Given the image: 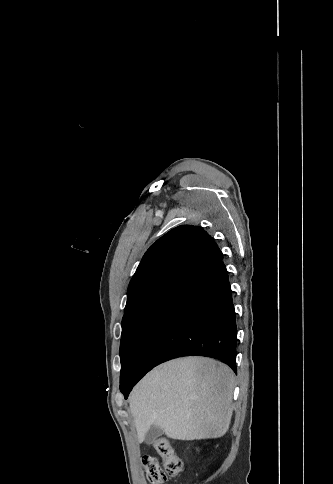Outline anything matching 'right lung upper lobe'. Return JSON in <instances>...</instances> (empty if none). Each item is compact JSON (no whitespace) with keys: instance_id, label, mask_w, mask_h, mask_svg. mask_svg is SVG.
Masks as SVG:
<instances>
[{"instance_id":"right-lung-upper-lobe-1","label":"right lung upper lobe","mask_w":333,"mask_h":484,"mask_svg":"<svg viewBox=\"0 0 333 484\" xmlns=\"http://www.w3.org/2000/svg\"><path fill=\"white\" fill-rule=\"evenodd\" d=\"M223 255L201 227L178 226L145 253L128 287L125 313L162 293H171L210 268Z\"/></svg>"}]
</instances>
